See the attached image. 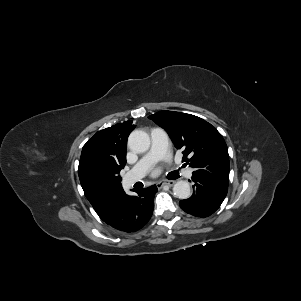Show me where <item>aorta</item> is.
Masks as SVG:
<instances>
[{
	"instance_id": "1",
	"label": "aorta",
	"mask_w": 301,
	"mask_h": 301,
	"mask_svg": "<svg viewBox=\"0 0 301 301\" xmlns=\"http://www.w3.org/2000/svg\"><path fill=\"white\" fill-rule=\"evenodd\" d=\"M130 149L136 153H143L150 147V137L142 130H134L128 138ZM173 193L179 199H187L191 196V189L188 182L180 180L173 186Z\"/></svg>"
}]
</instances>
